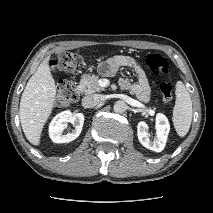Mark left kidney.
<instances>
[{
  "mask_svg": "<svg viewBox=\"0 0 213 213\" xmlns=\"http://www.w3.org/2000/svg\"><path fill=\"white\" fill-rule=\"evenodd\" d=\"M170 131V124L167 117L161 113L156 115V138L151 141L148 133V125L140 121L137 125V136L139 142L147 149L161 152L166 144Z\"/></svg>",
  "mask_w": 213,
  "mask_h": 213,
  "instance_id": "obj_1",
  "label": "left kidney"
}]
</instances>
